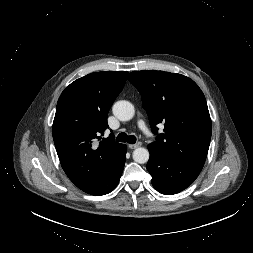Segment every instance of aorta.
Returning a JSON list of instances; mask_svg holds the SVG:
<instances>
[{
  "label": "aorta",
  "instance_id": "1",
  "mask_svg": "<svg viewBox=\"0 0 253 253\" xmlns=\"http://www.w3.org/2000/svg\"><path fill=\"white\" fill-rule=\"evenodd\" d=\"M113 114L120 121H128L133 118L135 110L132 103L126 100L117 101L112 108ZM133 160L139 164H145L149 160V152L146 148L139 147L133 151Z\"/></svg>",
  "mask_w": 253,
  "mask_h": 253
}]
</instances>
